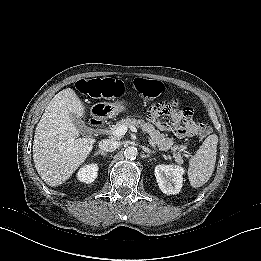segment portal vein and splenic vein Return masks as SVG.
<instances>
[{"label": "portal vein and splenic vein", "instance_id": "obj_1", "mask_svg": "<svg viewBox=\"0 0 261 261\" xmlns=\"http://www.w3.org/2000/svg\"><path fill=\"white\" fill-rule=\"evenodd\" d=\"M129 128L131 131L137 132L136 127L131 126ZM127 130H128V126H126V125H116V126L110 127L109 129H106V132L109 134H112L114 136L121 137L127 132ZM149 141H150V144L152 146H154V143L150 140V138H149Z\"/></svg>", "mask_w": 261, "mask_h": 261}]
</instances>
